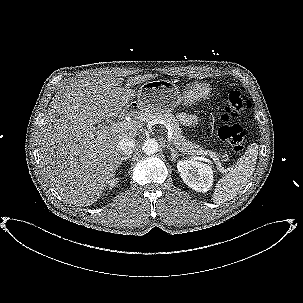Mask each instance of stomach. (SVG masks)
<instances>
[{
  "instance_id": "obj_1",
  "label": "stomach",
  "mask_w": 303,
  "mask_h": 303,
  "mask_svg": "<svg viewBox=\"0 0 303 303\" xmlns=\"http://www.w3.org/2000/svg\"><path fill=\"white\" fill-rule=\"evenodd\" d=\"M211 88L208 84L193 82L181 93L178 86L169 80L146 81L138 92L137 107L140 113H169L178 105L190 106L208 98Z\"/></svg>"
}]
</instances>
